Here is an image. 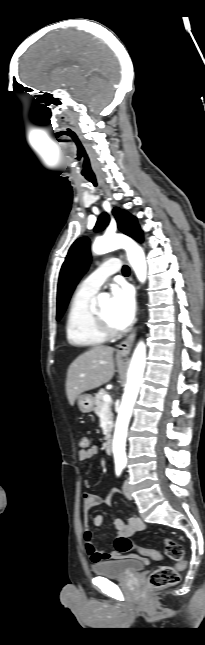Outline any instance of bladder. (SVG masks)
Returning a JSON list of instances; mask_svg holds the SVG:
<instances>
[{"mask_svg": "<svg viewBox=\"0 0 205 645\" xmlns=\"http://www.w3.org/2000/svg\"><path fill=\"white\" fill-rule=\"evenodd\" d=\"M141 560L124 558L118 560L101 561L92 566L95 574L111 578H128L144 569Z\"/></svg>", "mask_w": 205, "mask_h": 645, "instance_id": "bladder-1", "label": "bladder"}]
</instances>
